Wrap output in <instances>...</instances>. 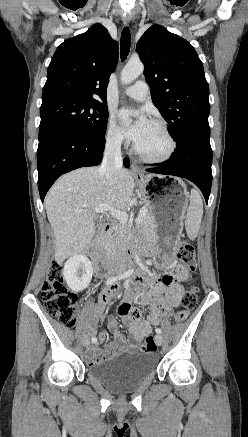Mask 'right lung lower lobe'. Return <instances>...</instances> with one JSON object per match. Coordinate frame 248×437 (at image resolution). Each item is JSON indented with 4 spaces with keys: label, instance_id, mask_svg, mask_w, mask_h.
<instances>
[{
    "label": "right lung lower lobe",
    "instance_id": "obj_1",
    "mask_svg": "<svg viewBox=\"0 0 248 437\" xmlns=\"http://www.w3.org/2000/svg\"><path fill=\"white\" fill-rule=\"evenodd\" d=\"M105 136L97 138L67 126L39 129L37 150L38 188L41 201L62 174L98 165L102 160ZM129 167V160L124 159Z\"/></svg>",
    "mask_w": 248,
    "mask_h": 437
}]
</instances>
